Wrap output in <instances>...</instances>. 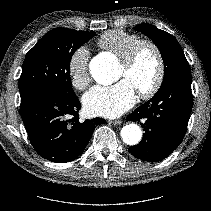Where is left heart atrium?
I'll list each match as a JSON object with an SVG mask.
<instances>
[{"instance_id": "left-heart-atrium-1", "label": "left heart atrium", "mask_w": 211, "mask_h": 211, "mask_svg": "<svg viewBox=\"0 0 211 211\" xmlns=\"http://www.w3.org/2000/svg\"><path fill=\"white\" fill-rule=\"evenodd\" d=\"M136 98L133 85L122 79L113 85L94 86L83 96L82 102L88 115L114 118L131 108Z\"/></svg>"}]
</instances>
